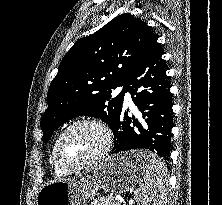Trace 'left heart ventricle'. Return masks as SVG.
Here are the masks:
<instances>
[{"instance_id":"b2bd125f","label":"left heart ventricle","mask_w":222,"mask_h":205,"mask_svg":"<svg viewBox=\"0 0 222 205\" xmlns=\"http://www.w3.org/2000/svg\"><path fill=\"white\" fill-rule=\"evenodd\" d=\"M104 142L96 127L80 125L69 131L59 146V156L67 165L81 163L96 154Z\"/></svg>"}]
</instances>
